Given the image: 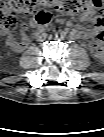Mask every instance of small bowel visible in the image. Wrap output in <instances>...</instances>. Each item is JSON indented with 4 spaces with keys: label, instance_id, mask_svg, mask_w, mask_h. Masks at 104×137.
<instances>
[{
    "label": "small bowel",
    "instance_id": "1",
    "mask_svg": "<svg viewBox=\"0 0 104 137\" xmlns=\"http://www.w3.org/2000/svg\"><path fill=\"white\" fill-rule=\"evenodd\" d=\"M80 21L84 24L94 23L98 22V17L93 12H85L82 13L80 16ZM30 27L37 28V30H40L39 23L33 19L30 22ZM6 36V49L12 52H19L26 48L28 44L33 40L34 34L30 33L29 26L27 24L21 25V38L20 40H17L13 34L7 33ZM71 36L76 39H81L89 42V47L94 55V57L98 60L103 59V52H96L93 48V45L97 43V41L94 39H91V35L82 27H75L71 30Z\"/></svg>",
    "mask_w": 104,
    "mask_h": 137
}]
</instances>
